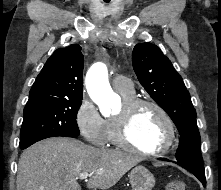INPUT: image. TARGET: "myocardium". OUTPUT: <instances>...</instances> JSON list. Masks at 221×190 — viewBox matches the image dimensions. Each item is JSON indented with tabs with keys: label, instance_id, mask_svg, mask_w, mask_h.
<instances>
[{
	"label": "myocardium",
	"instance_id": "myocardium-1",
	"mask_svg": "<svg viewBox=\"0 0 221 190\" xmlns=\"http://www.w3.org/2000/svg\"><path fill=\"white\" fill-rule=\"evenodd\" d=\"M150 106L154 108L164 120L167 127V138L163 146L157 149L145 150L137 147L131 140L129 134V126L134 112L142 107ZM118 132V140L121 147L124 149L144 155V156H159L167 153L173 147L176 139V129L174 122L167 111L157 102L149 99L134 98L131 100H124L122 109L114 117Z\"/></svg>",
	"mask_w": 221,
	"mask_h": 190
}]
</instances>
